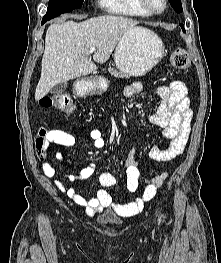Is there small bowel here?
I'll return each instance as SVG.
<instances>
[{
    "instance_id": "c3829d8e",
    "label": "small bowel",
    "mask_w": 221,
    "mask_h": 263,
    "mask_svg": "<svg viewBox=\"0 0 221 263\" xmlns=\"http://www.w3.org/2000/svg\"><path fill=\"white\" fill-rule=\"evenodd\" d=\"M143 90L140 82H133L126 86L124 95L133 97ZM157 94L161 98L160 105L150 120L153 124L163 128L164 136L170 140V145L166 149L153 146L149 151V156L155 160H175L185 149L190 133L192 111L186 86L180 81H172L168 85L159 86ZM76 129L67 131L64 129L50 130L44 140L47 147L53 143L65 147H73L76 144ZM94 148L101 149L105 146L103 134L99 129H92L89 132ZM54 157L59 162H64L63 154L55 152ZM43 160V171L49 178L54 179V183L59 191L67 194L69 199L77 206L84 207L87 215L94 216L104 209H111L122 217L132 216L142 210L144 203L151 200L156 192V187L160 186L167 174L163 173L155 177L153 185L149 186L142 197H136L129 203L116 201L110 193L104 189H99L93 198H86L73 187H67L60 178L57 177L53 165L45 157ZM95 165L88 164L82 167L76 174H65L64 177L70 181L75 179H87L95 172ZM139 170L138 162L134 151L130 150L126 159V189L133 193L138 188ZM101 185L105 187L113 186L116 183L114 176L108 172H103L99 176Z\"/></svg>"
}]
</instances>
